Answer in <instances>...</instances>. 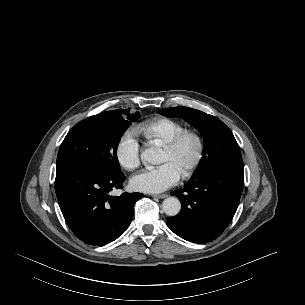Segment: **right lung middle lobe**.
<instances>
[{"label":"right lung middle lobe","mask_w":305,"mask_h":305,"mask_svg":"<svg viewBox=\"0 0 305 305\" xmlns=\"http://www.w3.org/2000/svg\"><path fill=\"white\" fill-rule=\"evenodd\" d=\"M123 114L128 119L123 118ZM139 113L113 110L88 117L66 135L57 156L56 170L86 169L98 173L121 172L117 147L121 136Z\"/></svg>","instance_id":"right-lung-middle-lobe-1"}]
</instances>
